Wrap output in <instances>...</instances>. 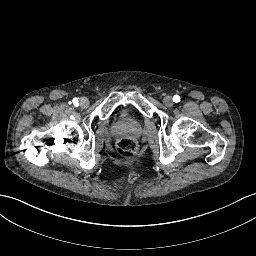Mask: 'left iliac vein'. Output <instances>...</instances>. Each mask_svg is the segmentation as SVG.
Returning <instances> with one entry per match:
<instances>
[{"label": "left iliac vein", "mask_w": 256, "mask_h": 256, "mask_svg": "<svg viewBox=\"0 0 256 256\" xmlns=\"http://www.w3.org/2000/svg\"><path fill=\"white\" fill-rule=\"evenodd\" d=\"M163 103H164V105L165 106H167V107H172L173 106V99H172V97L171 96H166V97H164V99H163Z\"/></svg>", "instance_id": "obj_1"}]
</instances>
